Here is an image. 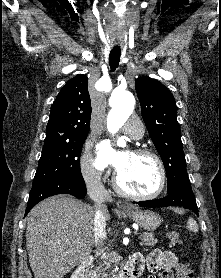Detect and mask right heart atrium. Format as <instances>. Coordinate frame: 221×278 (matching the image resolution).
<instances>
[{
	"instance_id": "1",
	"label": "right heart atrium",
	"mask_w": 221,
	"mask_h": 278,
	"mask_svg": "<svg viewBox=\"0 0 221 278\" xmlns=\"http://www.w3.org/2000/svg\"><path fill=\"white\" fill-rule=\"evenodd\" d=\"M80 173L85 182L97 184L104 177L103 169L97 165L92 153L91 146L87 144L80 159Z\"/></svg>"
}]
</instances>
